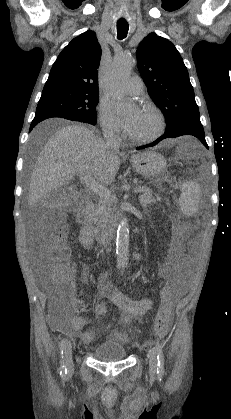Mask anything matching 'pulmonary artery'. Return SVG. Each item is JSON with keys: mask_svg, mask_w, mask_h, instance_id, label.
<instances>
[{"mask_svg": "<svg viewBox=\"0 0 231 419\" xmlns=\"http://www.w3.org/2000/svg\"><path fill=\"white\" fill-rule=\"evenodd\" d=\"M126 88L130 94L139 95L144 90V83L139 76L135 75L128 80Z\"/></svg>", "mask_w": 231, "mask_h": 419, "instance_id": "e3ab8cb5", "label": "pulmonary artery"}]
</instances>
